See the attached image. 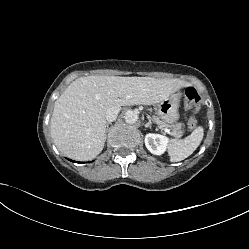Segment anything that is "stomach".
Masks as SVG:
<instances>
[{"label":"stomach","instance_id":"stomach-1","mask_svg":"<svg viewBox=\"0 0 249 249\" xmlns=\"http://www.w3.org/2000/svg\"><path fill=\"white\" fill-rule=\"evenodd\" d=\"M179 95L171 94L158 104V115L168 125L179 119Z\"/></svg>","mask_w":249,"mask_h":249}]
</instances>
